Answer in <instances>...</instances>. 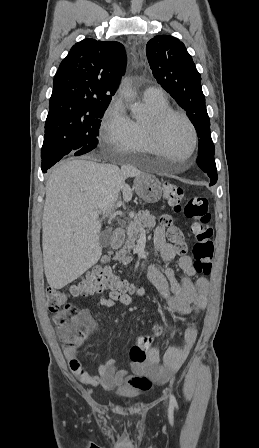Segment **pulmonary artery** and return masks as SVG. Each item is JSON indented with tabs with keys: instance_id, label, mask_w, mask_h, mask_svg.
<instances>
[{
	"instance_id": "e3ab8cb5",
	"label": "pulmonary artery",
	"mask_w": 259,
	"mask_h": 448,
	"mask_svg": "<svg viewBox=\"0 0 259 448\" xmlns=\"http://www.w3.org/2000/svg\"><path fill=\"white\" fill-rule=\"evenodd\" d=\"M144 94L151 97L161 98L165 96V91L160 86H152L145 89Z\"/></svg>"
}]
</instances>
